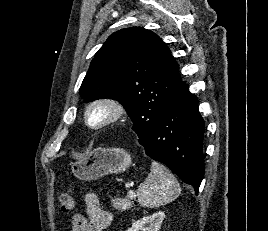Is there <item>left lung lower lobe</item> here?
Here are the masks:
<instances>
[{
  "mask_svg": "<svg viewBox=\"0 0 268 231\" xmlns=\"http://www.w3.org/2000/svg\"><path fill=\"white\" fill-rule=\"evenodd\" d=\"M205 124L197 98L184 86L171 98L163 113L139 143L152 159L167 165L196 193L204 175L202 140Z\"/></svg>",
  "mask_w": 268,
  "mask_h": 231,
  "instance_id": "0a47b994",
  "label": "left lung lower lobe"
}]
</instances>
